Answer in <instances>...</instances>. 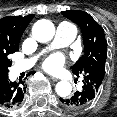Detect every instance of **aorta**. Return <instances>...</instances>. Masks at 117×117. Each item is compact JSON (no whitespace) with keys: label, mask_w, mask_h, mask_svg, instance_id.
I'll list each match as a JSON object with an SVG mask.
<instances>
[{"label":"aorta","mask_w":117,"mask_h":117,"mask_svg":"<svg viewBox=\"0 0 117 117\" xmlns=\"http://www.w3.org/2000/svg\"><path fill=\"white\" fill-rule=\"evenodd\" d=\"M32 34L38 42H48L54 37V24L49 20H38L33 25ZM55 90L60 97H67L72 92V85L68 81H60L56 84Z\"/></svg>","instance_id":"762f6f07"}]
</instances>
